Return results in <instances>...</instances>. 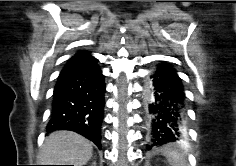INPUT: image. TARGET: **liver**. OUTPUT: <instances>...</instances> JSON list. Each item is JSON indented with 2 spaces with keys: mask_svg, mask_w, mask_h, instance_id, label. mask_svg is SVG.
I'll return each mask as SVG.
<instances>
[{
  "mask_svg": "<svg viewBox=\"0 0 236 166\" xmlns=\"http://www.w3.org/2000/svg\"><path fill=\"white\" fill-rule=\"evenodd\" d=\"M92 144L71 131L51 133L42 146L40 161L43 165H85L92 157Z\"/></svg>",
  "mask_w": 236,
  "mask_h": 166,
  "instance_id": "1",
  "label": "liver"
}]
</instances>
